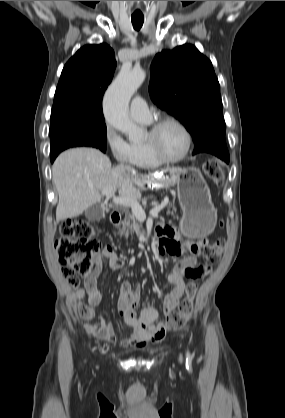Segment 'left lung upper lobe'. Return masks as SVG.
<instances>
[{
    "label": "left lung upper lobe",
    "instance_id": "obj_1",
    "mask_svg": "<svg viewBox=\"0 0 285 418\" xmlns=\"http://www.w3.org/2000/svg\"><path fill=\"white\" fill-rule=\"evenodd\" d=\"M150 97L192 135L193 154L229 161L220 86L211 61L190 44L163 50L151 64Z\"/></svg>",
    "mask_w": 285,
    "mask_h": 418
}]
</instances>
